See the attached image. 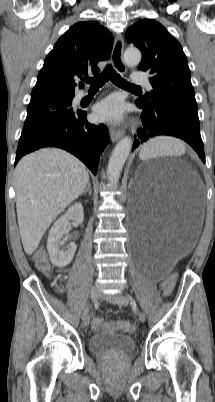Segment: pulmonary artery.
<instances>
[{
    "instance_id": "1",
    "label": "pulmonary artery",
    "mask_w": 215,
    "mask_h": 402,
    "mask_svg": "<svg viewBox=\"0 0 215 402\" xmlns=\"http://www.w3.org/2000/svg\"><path fill=\"white\" fill-rule=\"evenodd\" d=\"M132 83H133V84H142V85H146L149 89L152 88L151 85H150V83H149L148 78H147L143 73H140V72H137V73H134V74H133V76H132ZM86 95H87L86 92L80 91V92H78L77 95H76V100H80V99H82L83 97H85Z\"/></svg>"
}]
</instances>
